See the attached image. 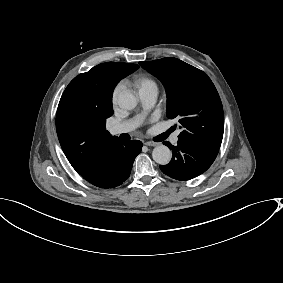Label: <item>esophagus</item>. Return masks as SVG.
Segmentation results:
<instances>
[{
	"label": "esophagus",
	"mask_w": 283,
	"mask_h": 283,
	"mask_svg": "<svg viewBox=\"0 0 283 283\" xmlns=\"http://www.w3.org/2000/svg\"><path fill=\"white\" fill-rule=\"evenodd\" d=\"M146 146H153V147H156L158 145H160V143L158 142H152V141H147L144 143Z\"/></svg>",
	"instance_id": "esophagus-1"
}]
</instances>
